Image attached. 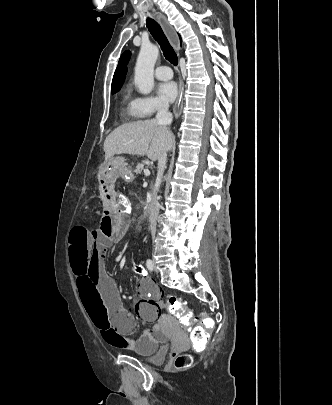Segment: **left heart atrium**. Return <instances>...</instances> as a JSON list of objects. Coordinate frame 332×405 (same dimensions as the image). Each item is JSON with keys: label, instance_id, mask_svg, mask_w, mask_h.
Returning <instances> with one entry per match:
<instances>
[{"label": "left heart atrium", "instance_id": "39dd6f15", "mask_svg": "<svg viewBox=\"0 0 332 405\" xmlns=\"http://www.w3.org/2000/svg\"><path fill=\"white\" fill-rule=\"evenodd\" d=\"M159 95L166 102H173L178 96V87L175 82H163L158 86Z\"/></svg>", "mask_w": 332, "mask_h": 405}]
</instances>
